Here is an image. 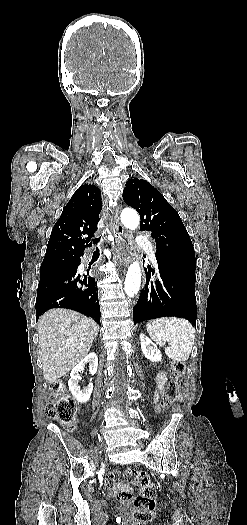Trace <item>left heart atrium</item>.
<instances>
[{"label": "left heart atrium", "mask_w": 247, "mask_h": 525, "mask_svg": "<svg viewBox=\"0 0 247 525\" xmlns=\"http://www.w3.org/2000/svg\"><path fill=\"white\" fill-rule=\"evenodd\" d=\"M113 264L115 266H117V267H121L123 265H125L126 267H130V264H126V262H125V256H122V255H117L114 258V263Z\"/></svg>", "instance_id": "1"}]
</instances>
